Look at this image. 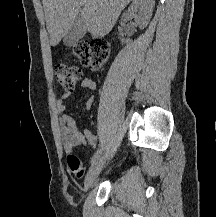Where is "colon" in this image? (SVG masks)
<instances>
[{"label": "colon", "mask_w": 216, "mask_h": 217, "mask_svg": "<svg viewBox=\"0 0 216 217\" xmlns=\"http://www.w3.org/2000/svg\"><path fill=\"white\" fill-rule=\"evenodd\" d=\"M110 51V45L104 40L81 41L72 47V56L78 59L81 66L93 71L101 69ZM56 80L66 89L71 90L81 77V69L78 66L58 64L54 68ZM68 165L77 175L82 174L79 158L69 154Z\"/></svg>", "instance_id": "5ec220e1"}]
</instances>
